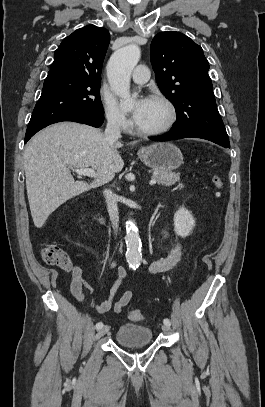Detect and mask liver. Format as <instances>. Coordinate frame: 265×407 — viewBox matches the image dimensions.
<instances>
[{
    "label": "liver",
    "mask_w": 265,
    "mask_h": 407,
    "mask_svg": "<svg viewBox=\"0 0 265 407\" xmlns=\"http://www.w3.org/2000/svg\"><path fill=\"white\" fill-rule=\"evenodd\" d=\"M120 147L121 142H108L100 130L74 122L56 123L37 133L23 156L34 225L41 228L64 202L113 179L124 166ZM72 167H91L95 180L75 181Z\"/></svg>",
    "instance_id": "obj_1"
}]
</instances>
